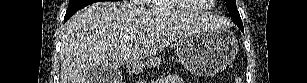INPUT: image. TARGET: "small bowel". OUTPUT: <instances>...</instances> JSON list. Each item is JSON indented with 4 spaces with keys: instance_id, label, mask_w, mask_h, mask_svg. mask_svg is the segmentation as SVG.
<instances>
[{
    "instance_id": "c3829d8e",
    "label": "small bowel",
    "mask_w": 307,
    "mask_h": 83,
    "mask_svg": "<svg viewBox=\"0 0 307 83\" xmlns=\"http://www.w3.org/2000/svg\"><path fill=\"white\" fill-rule=\"evenodd\" d=\"M184 81L182 80L181 77L178 75H169L165 77L161 83H183Z\"/></svg>"
}]
</instances>
